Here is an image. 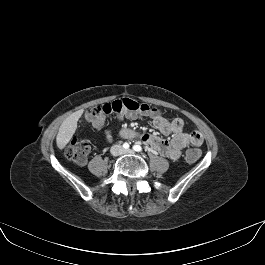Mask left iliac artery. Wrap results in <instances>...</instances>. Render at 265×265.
Returning a JSON list of instances; mask_svg holds the SVG:
<instances>
[{
  "instance_id": "obj_1",
  "label": "left iliac artery",
  "mask_w": 265,
  "mask_h": 265,
  "mask_svg": "<svg viewBox=\"0 0 265 265\" xmlns=\"http://www.w3.org/2000/svg\"><path fill=\"white\" fill-rule=\"evenodd\" d=\"M133 150H135L136 152H141L142 151V147L140 145H134L133 146Z\"/></svg>"
}]
</instances>
